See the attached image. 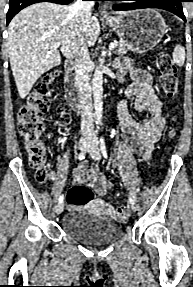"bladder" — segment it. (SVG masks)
Returning a JSON list of instances; mask_svg holds the SVG:
<instances>
[{
	"instance_id": "bladder-1",
	"label": "bladder",
	"mask_w": 193,
	"mask_h": 287,
	"mask_svg": "<svg viewBox=\"0 0 193 287\" xmlns=\"http://www.w3.org/2000/svg\"><path fill=\"white\" fill-rule=\"evenodd\" d=\"M62 230L75 240L91 246L112 243L123 235L122 227L116 222L84 210L65 214Z\"/></svg>"
}]
</instances>
